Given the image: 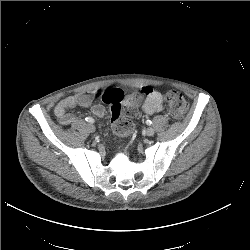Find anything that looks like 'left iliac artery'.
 <instances>
[{
	"label": "left iliac artery",
	"mask_w": 250,
	"mask_h": 250,
	"mask_svg": "<svg viewBox=\"0 0 250 250\" xmlns=\"http://www.w3.org/2000/svg\"><path fill=\"white\" fill-rule=\"evenodd\" d=\"M146 124H147V125H151V124H152V121L148 119V120L146 121Z\"/></svg>",
	"instance_id": "1"
}]
</instances>
